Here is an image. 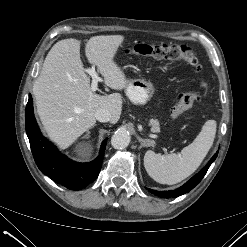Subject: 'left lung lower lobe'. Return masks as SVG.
I'll return each instance as SVG.
<instances>
[{
	"label": "left lung lower lobe",
	"instance_id": "left-lung-lower-lobe-1",
	"mask_svg": "<svg viewBox=\"0 0 247 247\" xmlns=\"http://www.w3.org/2000/svg\"><path fill=\"white\" fill-rule=\"evenodd\" d=\"M218 155V152L214 154V156L211 158V160L207 163V165L194 177H192L187 183H185L183 186L175 189V190H170V191H156L153 189L147 188L151 193L162 197V198H175L178 196H181L190 190H192L204 177L206 174L207 170L209 169L210 165L214 162Z\"/></svg>",
	"mask_w": 247,
	"mask_h": 247
}]
</instances>
